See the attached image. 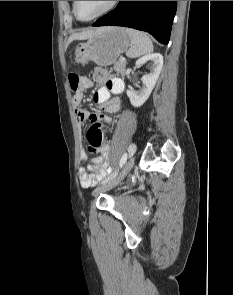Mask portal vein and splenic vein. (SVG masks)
I'll list each match as a JSON object with an SVG mask.
<instances>
[{"instance_id": "portal-vein-and-splenic-vein-1", "label": "portal vein and splenic vein", "mask_w": 233, "mask_h": 295, "mask_svg": "<svg viewBox=\"0 0 233 295\" xmlns=\"http://www.w3.org/2000/svg\"><path fill=\"white\" fill-rule=\"evenodd\" d=\"M120 60H121V61H125V58H124V57H121Z\"/></svg>"}]
</instances>
